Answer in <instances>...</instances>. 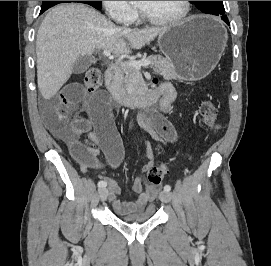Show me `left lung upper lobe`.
<instances>
[{
	"label": "left lung upper lobe",
	"mask_w": 271,
	"mask_h": 266,
	"mask_svg": "<svg viewBox=\"0 0 271 266\" xmlns=\"http://www.w3.org/2000/svg\"><path fill=\"white\" fill-rule=\"evenodd\" d=\"M206 14L222 16L225 15L223 1H190Z\"/></svg>",
	"instance_id": "5c2ea615"
}]
</instances>
